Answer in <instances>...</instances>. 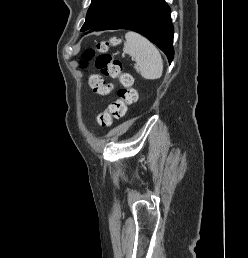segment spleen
I'll list each match as a JSON object with an SVG mask.
<instances>
[{
  "label": "spleen",
  "mask_w": 248,
  "mask_h": 258,
  "mask_svg": "<svg viewBox=\"0 0 248 258\" xmlns=\"http://www.w3.org/2000/svg\"><path fill=\"white\" fill-rule=\"evenodd\" d=\"M125 39L124 52L135 59V70L144 79H159L163 72V60L155 45L133 31L127 32Z\"/></svg>",
  "instance_id": "1"
}]
</instances>
